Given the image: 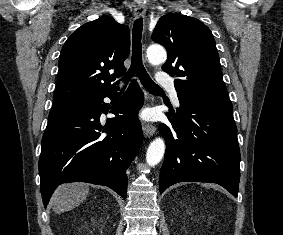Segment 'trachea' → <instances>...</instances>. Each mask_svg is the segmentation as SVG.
I'll return each mask as SVG.
<instances>
[{
    "mask_svg": "<svg viewBox=\"0 0 283 235\" xmlns=\"http://www.w3.org/2000/svg\"><path fill=\"white\" fill-rule=\"evenodd\" d=\"M142 30L143 22L142 18H139L134 22L133 26L131 66L122 80L128 82L136 74L146 90L151 93L163 92V90L150 78L143 65L141 46Z\"/></svg>",
    "mask_w": 283,
    "mask_h": 235,
    "instance_id": "obj_1",
    "label": "trachea"
}]
</instances>
